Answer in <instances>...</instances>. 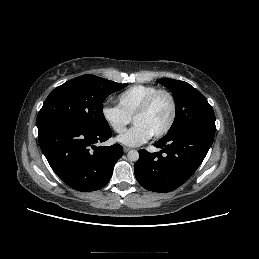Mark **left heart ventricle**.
I'll return each instance as SVG.
<instances>
[{"label":"left heart ventricle","mask_w":259,"mask_h":259,"mask_svg":"<svg viewBox=\"0 0 259 259\" xmlns=\"http://www.w3.org/2000/svg\"><path fill=\"white\" fill-rule=\"evenodd\" d=\"M172 105L166 95L156 98L149 111L134 120L135 125H140L152 135L162 130L170 120Z\"/></svg>","instance_id":"b2bd125f"}]
</instances>
